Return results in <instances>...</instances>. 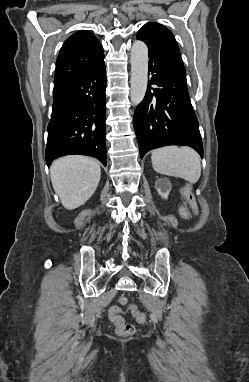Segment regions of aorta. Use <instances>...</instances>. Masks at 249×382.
<instances>
[{
    "mask_svg": "<svg viewBox=\"0 0 249 382\" xmlns=\"http://www.w3.org/2000/svg\"><path fill=\"white\" fill-rule=\"evenodd\" d=\"M148 83V48L142 41H135L131 49V92L133 105L143 100Z\"/></svg>",
    "mask_w": 249,
    "mask_h": 382,
    "instance_id": "762f6f07",
    "label": "aorta"
}]
</instances>
